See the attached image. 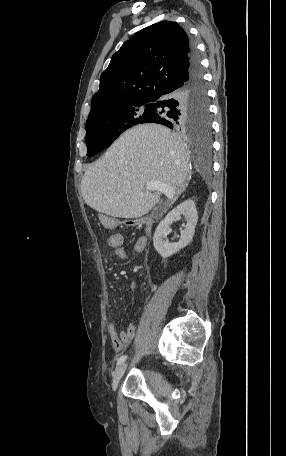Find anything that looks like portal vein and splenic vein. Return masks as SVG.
Returning <instances> with one entry per match:
<instances>
[{
	"label": "portal vein and splenic vein",
	"mask_w": 286,
	"mask_h": 456,
	"mask_svg": "<svg viewBox=\"0 0 286 456\" xmlns=\"http://www.w3.org/2000/svg\"><path fill=\"white\" fill-rule=\"evenodd\" d=\"M145 188L149 191H158L163 193L169 199L173 198L175 194V190L172 187L158 181H150L146 183Z\"/></svg>",
	"instance_id": "portal-vein-and-splenic-vein-1"
}]
</instances>
